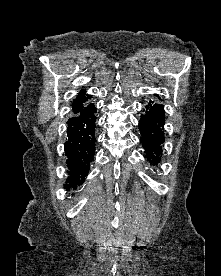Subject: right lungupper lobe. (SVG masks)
I'll use <instances>...</instances> for the list:
<instances>
[{
  "mask_svg": "<svg viewBox=\"0 0 221 276\" xmlns=\"http://www.w3.org/2000/svg\"><path fill=\"white\" fill-rule=\"evenodd\" d=\"M91 96L86 94L85 90H81L76 99L72 103V111L74 114L82 111L89 103H87L88 99H90Z\"/></svg>",
  "mask_w": 221,
  "mask_h": 276,
  "instance_id": "obj_1",
  "label": "right lung upper lobe"
}]
</instances>
